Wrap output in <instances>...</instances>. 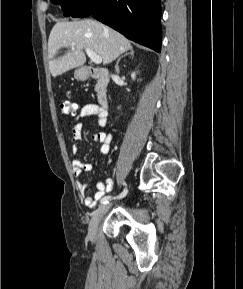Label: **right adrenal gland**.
<instances>
[{
	"label": "right adrenal gland",
	"mask_w": 243,
	"mask_h": 289,
	"mask_svg": "<svg viewBox=\"0 0 243 289\" xmlns=\"http://www.w3.org/2000/svg\"><path fill=\"white\" fill-rule=\"evenodd\" d=\"M127 55H130V56L133 57V56H134V51H133V49H131L129 53H125L124 55H122L121 57L118 58V60H117V62H116V65H115V71H116L117 73H119V62H120L121 58H123V57H125V56H127Z\"/></svg>",
	"instance_id": "obj_1"
}]
</instances>
